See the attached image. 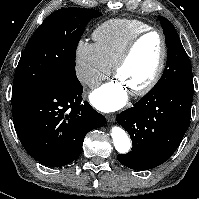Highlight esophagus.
Instances as JSON below:
<instances>
[{
	"mask_svg": "<svg viewBox=\"0 0 199 199\" xmlns=\"http://www.w3.org/2000/svg\"><path fill=\"white\" fill-rule=\"evenodd\" d=\"M106 118H107V120H108L109 122H114L115 119H116V116H115L114 114H108V115L106 116Z\"/></svg>",
	"mask_w": 199,
	"mask_h": 199,
	"instance_id": "esophagus-1",
	"label": "esophagus"
}]
</instances>
